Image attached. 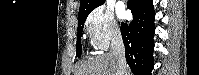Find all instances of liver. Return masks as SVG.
Returning a JSON list of instances; mask_svg holds the SVG:
<instances>
[{
    "mask_svg": "<svg viewBox=\"0 0 199 75\" xmlns=\"http://www.w3.org/2000/svg\"><path fill=\"white\" fill-rule=\"evenodd\" d=\"M117 67L116 59L110 52L84 61L77 68L75 75H116ZM130 73L126 67L125 75Z\"/></svg>",
    "mask_w": 199,
    "mask_h": 75,
    "instance_id": "6515ba94",
    "label": "liver"
}]
</instances>
